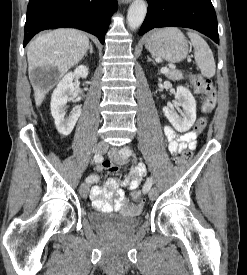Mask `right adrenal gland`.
<instances>
[{"label":"right adrenal gland","instance_id":"obj_1","mask_svg":"<svg viewBox=\"0 0 247 275\" xmlns=\"http://www.w3.org/2000/svg\"><path fill=\"white\" fill-rule=\"evenodd\" d=\"M89 52H90V54H93V46H92L91 43H90V45H89ZM86 56H87V54H86Z\"/></svg>","mask_w":247,"mask_h":275}]
</instances>
